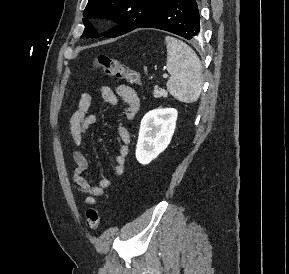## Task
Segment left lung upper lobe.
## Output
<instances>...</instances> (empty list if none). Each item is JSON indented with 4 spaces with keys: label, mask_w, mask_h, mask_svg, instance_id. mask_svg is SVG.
Returning <instances> with one entry per match:
<instances>
[{
    "label": "left lung upper lobe",
    "mask_w": 289,
    "mask_h": 274,
    "mask_svg": "<svg viewBox=\"0 0 289 274\" xmlns=\"http://www.w3.org/2000/svg\"><path fill=\"white\" fill-rule=\"evenodd\" d=\"M165 0H89L84 10L85 30L82 36L97 38L98 32L89 18H113L119 23L103 36L117 37L134 30Z\"/></svg>",
    "instance_id": "5c2ea615"
}]
</instances>
